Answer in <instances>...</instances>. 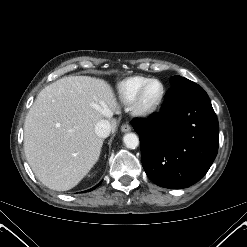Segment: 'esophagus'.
<instances>
[{"instance_id":"obj_1","label":"esophagus","mask_w":247,"mask_h":247,"mask_svg":"<svg viewBox=\"0 0 247 247\" xmlns=\"http://www.w3.org/2000/svg\"><path fill=\"white\" fill-rule=\"evenodd\" d=\"M131 130V126L129 124H123L121 127L122 132H129Z\"/></svg>"}]
</instances>
